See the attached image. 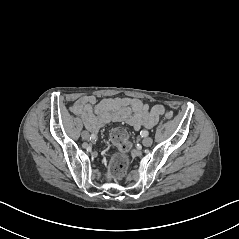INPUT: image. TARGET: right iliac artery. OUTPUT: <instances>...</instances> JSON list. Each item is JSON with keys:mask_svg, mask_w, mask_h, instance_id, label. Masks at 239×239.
Listing matches in <instances>:
<instances>
[{"mask_svg": "<svg viewBox=\"0 0 239 239\" xmlns=\"http://www.w3.org/2000/svg\"><path fill=\"white\" fill-rule=\"evenodd\" d=\"M91 138H92V140H95V139H96V135H95V134H92V135H91Z\"/></svg>", "mask_w": 239, "mask_h": 239, "instance_id": "right-iliac-artery-1", "label": "right iliac artery"}]
</instances>
